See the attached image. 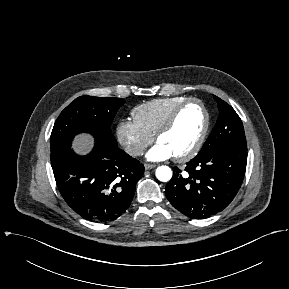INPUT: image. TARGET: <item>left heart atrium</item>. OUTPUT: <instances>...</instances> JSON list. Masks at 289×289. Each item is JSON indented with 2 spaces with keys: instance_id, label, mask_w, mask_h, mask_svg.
<instances>
[{
  "instance_id": "left-heart-atrium-1",
  "label": "left heart atrium",
  "mask_w": 289,
  "mask_h": 289,
  "mask_svg": "<svg viewBox=\"0 0 289 289\" xmlns=\"http://www.w3.org/2000/svg\"><path fill=\"white\" fill-rule=\"evenodd\" d=\"M173 157L171 151L163 144L157 143L147 153L146 158L150 161H163Z\"/></svg>"
}]
</instances>
